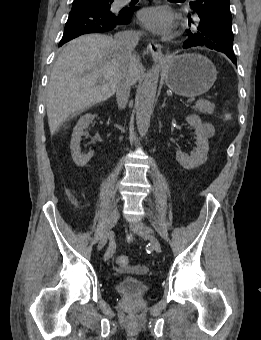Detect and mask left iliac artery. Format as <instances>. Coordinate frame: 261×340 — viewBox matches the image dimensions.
Returning a JSON list of instances; mask_svg holds the SVG:
<instances>
[{
  "label": "left iliac artery",
  "instance_id": "44dca946",
  "mask_svg": "<svg viewBox=\"0 0 261 340\" xmlns=\"http://www.w3.org/2000/svg\"><path fill=\"white\" fill-rule=\"evenodd\" d=\"M146 229H147L148 231H152L149 227H146Z\"/></svg>",
  "mask_w": 261,
  "mask_h": 340
}]
</instances>
